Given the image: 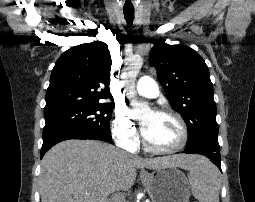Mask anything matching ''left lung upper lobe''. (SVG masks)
I'll return each instance as SVG.
<instances>
[{"label":"left lung upper lobe","mask_w":255,"mask_h":202,"mask_svg":"<svg viewBox=\"0 0 255 202\" xmlns=\"http://www.w3.org/2000/svg\"><path fill=\"white\" fill-rule=\"evenodd\" d=\"M149 62L157 69L171 105L189 128L185 150H220L213 85L203 58L188 46L159 40L150 52Z\"/></svg>","instance_id":"1"}]
</instances>
